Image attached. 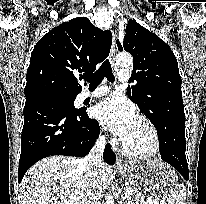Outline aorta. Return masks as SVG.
<instances>
[{
  "instance_id": "1",
  "label": "aorta",
  "mask_w": 206,
  "mask_h": 204,
  "mask_svg": "<svg viewBox=\"0 0 206 204\" xmlns=\"http://www.w3.org/2000/svg\"><path fill=\"white\" fill-rule=\"evenodd\" d=\"M133 62L132 56L128 53H120L116 57V63L119 66L126 67L131 65ZM115 200L113 196H109L105 204H114Z\"/></svg>"
}]
</instances>
